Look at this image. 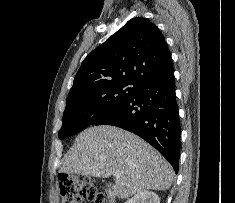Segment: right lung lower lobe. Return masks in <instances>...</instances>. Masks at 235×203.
I'll list each match as a JSON object with an SVG mask.
<instances>
[{
	"instance_id": "obj_1",
	"label": "right lung lower lobe",
	"mask_w": 235,
	"mask_h": 203,
	"mask_svg": "<svg viewBox=\"0 0 235 203\" xmlns=\"http://www.w3.org/2000/svg\"><path fill=\"white\" fill-rule=\"evenodd\" d=\"M95 125H113L140 136L178 173L180 119L173 66L139 83L135 92Z\"/></svg>"
}]
</instances>
